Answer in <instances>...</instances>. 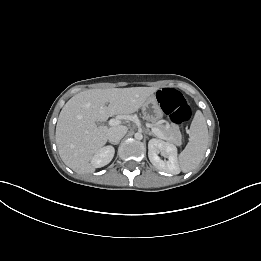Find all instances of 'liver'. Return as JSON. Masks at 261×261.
<instances>
[{
	"mask_svg": "<svg viewBox=\"0 0 261 261\" xmlns=\"http://www.w3.org/2000/svg\"><path fill=\"white\" fill-rule=\"evenodd\" d=\"M156 87L90 89L74 95L62 108L56 126V145L62 161L79 174L95 171L90 163L107 142L109 128L97 126L113 115L132 114Z\"/></svg>",
	"mask_w": 261,
	"mask_h": 261,
	"instance_id": "6515ba94",
	"label": "liver"
}]
</instances>
